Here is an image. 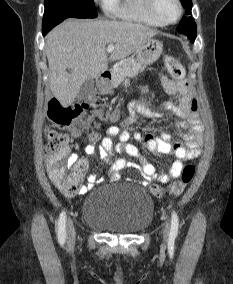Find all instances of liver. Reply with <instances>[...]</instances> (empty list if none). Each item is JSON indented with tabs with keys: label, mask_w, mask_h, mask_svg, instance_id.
Returning a JSON list of instances; mask_svg holds the SVG:
<instances>
[{
	"label": "liver",
	"mask_w": 233,
	"mask_h": 284,
	"mask_svg": "<svg viewBox=\"0 0 233 284\" xmlns=\"http://www.w3.org/2000/svg\"><path fill=\"white\" fill-rule=\"evenodd\" d=\"M157 31L126 21L69 19L47 36L50 89L64 107L71 105L84 81L99 77L108 61L137 52ZM115 49L108 58L107 46ZM70 69L71 73L66 70Z\"/></svg>",
	"instance_id": "6515ba94"
}]
</instances>
